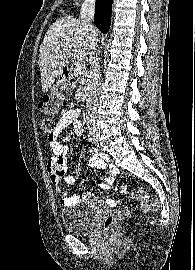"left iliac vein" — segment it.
I'll return each instance as SVG.
<instances>
[{"label":"left iliac vein","mask_w":195,"mask_h":270,"mask_svg":"<svg viewBox=\"0 0 195 270\" xmlns=\"http://www.w3.org/2000/svg\"><path fill=\"white\" fill-rule=\"evenodd\" d=\"M93 143L98 146V136L97 133H93Z\"/></svg>","instance_id":"obj_1"}]
</instances>
